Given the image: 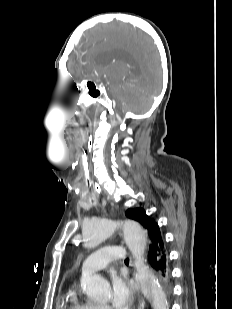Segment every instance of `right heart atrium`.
<instances>
[{
  "mask_svg": "<svg viewBox=\"0 0 232 309\" xmlns=\"http://www.w3.org/2000/svg\"><path fill=\"white\" fill-rule=\"evenodd\" d=\"M101 309H109V308L106 306H101Z\"/></svg>",
  "mask_w": 232,
  "mask_h": 309,
  "instance_id": "right-heart-atrium-1",
  "label": "right heart atrium"
}]
</instances>
